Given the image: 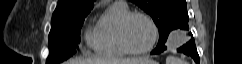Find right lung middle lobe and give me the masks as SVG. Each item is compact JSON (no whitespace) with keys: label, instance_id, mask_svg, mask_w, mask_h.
<instances>
[{"label":"right lung middle lobe","instance_id":"obj_1","mask_svg":"<svg viewBox=\"0 0 242 64\" xmlns=\"http://www.w3.org/2000/svg\"><path fill=\"white\" fill-rule=\"evenodd\" d=\"M87 15L85 13L72 18L52 20L46 64H58L76 53L81 27Z\"/></svg>","mask_w":242,"mask_h":64}]
</instances>
